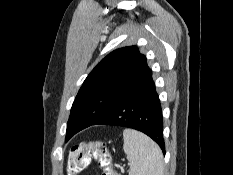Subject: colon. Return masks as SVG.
<instances>
[{"instance_id":"colon-1","label":"colon","mask_w":233,"mask_h":175,"mask_svg":"<svg viewBox=\"0 0 233 175\" xmlns=\"http://www.w3.org/2000/svg\"><path fill=\"white\" fill-rule=\"evenodd\" d=\"M92 157L97 160L102 175H120L115 170L113 156L103 141H90L74 145L67 158L68 175H77L85 170Z\"/></svg>"}]
</instances>
